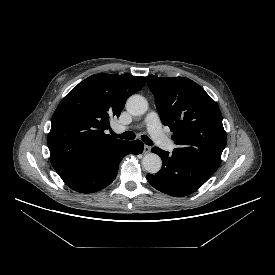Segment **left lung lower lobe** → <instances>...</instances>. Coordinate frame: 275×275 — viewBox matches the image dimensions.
Listing matches in <instances>:
<instances>
[{"instance_id": "obj_1", "label": "left lung lower lobe", "mask_w": 275, "mask_h": 275, "mask_svg": "<svg viewBox=\"0 0 275 275\" xmlns=\"http://www.w3.org/2000/svg\"><path fill=\"white\" fill-rule=\"evenodd\" d=\"M162 159V168L155 175L148 174L149 183L157 190L175 197L197 191L213 174L175 153L154 147L151 150Z\"/></svg>"}]
</instances>
